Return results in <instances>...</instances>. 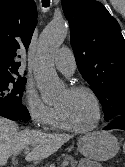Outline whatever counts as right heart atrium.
I'll use <instances>...</instances> for the list:
<instances>
[{"instance_id": "right-heart-atrium-1", "label": "right heart atrium", "mask_w": 125, "mask_h": 167, "mask_svg": "<svg viewBox=\"0 0 125 167\" xmlns=\"http://www.w3.org/2000/svg\"><path fill=\"white\" fill-rule=\"evenodd\" d=\"M23 105L35 126L46 128L53 122L56 109L46 104L33 86H26Z\"/></svg>"}]
</instances>
